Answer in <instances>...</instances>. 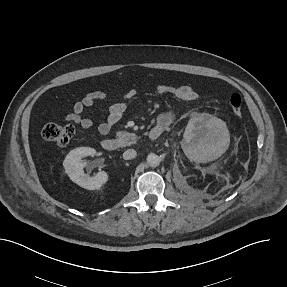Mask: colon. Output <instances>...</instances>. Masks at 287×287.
<instances>
[{
	"label": "colon",
	"instance_id": "obj_1",
	"mask_svg": "<svg viewBox=\"0 0 287 287\" xmlns=\"http://www.w3.org/2000/svg\"><path fill=\"white\" fill-rule=\"evenodd\" d=\"M229 106L235 117L243 114V101L239 94H233L229 99ZM75 129L71 125L47 124L42 130V137L55 145L65 146L74 136Z\"/></svg>",
	"mask_w": 287,
	"mask_h": 287
}]
</instances>
